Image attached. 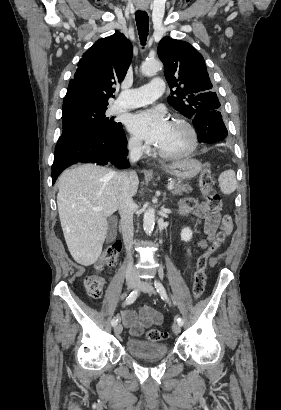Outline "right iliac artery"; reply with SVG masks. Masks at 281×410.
I'll return each mask as SVG.
<instances>
[{
	"label": "right iliac artery",
	"mask_w": 281,
	"mask_h": 410,
	"mask_svg": "<svg viewBox=\"0 0 281 410\" xmlns=\"http://www.w3.org/2000/svg\"><path fill=\"white\" fill-rule=\"evenodd\" d=\"M138 293H139L138 290L132 291V292L129 294V296L126 298L125 305H130V304H132V303L136 300V298H137V296H138ZM117 323H118V317H114V318L112 319V321H111L112 326H116Z\"/></svg>",
	"instance_id": "1"
}]
</instances>
